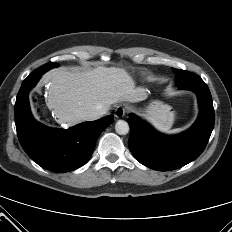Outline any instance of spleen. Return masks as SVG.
<instances>
[{
    "instance_id": "obj_1",
    "label": "spleen",
    "mask_w": 232,
    "mask_h": 232,
    "mask_svg": "<svg viewBox=\"0 0 232 232\" xmlns=\"http://www.w3.org/2000/svg\"><path fill=\"white\" fill-rule=\"evenodd\" d=\"M184 130H185V128H176V129H173V130L169 131L168 134H178V133H181Z\"/></svg>"
}]
</instances>
